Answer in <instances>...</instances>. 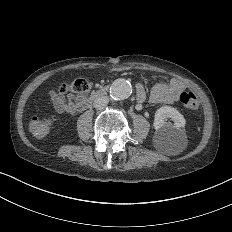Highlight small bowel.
I'll return each instance as SVG.
<instances>
[{
    "label": "small bowel",
    "mask_w": 232,
    "mask_h": 232,
    "mask_svg": "<svg viewBox=\"0 0 232 232\" xmlns=\"http://www.w3.org/2000/svg\"><path fill=\"white\" fill-rule=\"evenodd\" d=\"M129 69L122 68L118 71L126 72ZM153 89L151 93H148L144 84H138L136 92L133 97V102L136 104H143L145 102L149 104H157L159 102H175L178 100L180 93L185 90V84L178 79H172L169 82L164 80H156L152 82ZM54 94V90L50 91Z\"/></svg>",
    "instance_id": "obj_1"
}]
</instances>
